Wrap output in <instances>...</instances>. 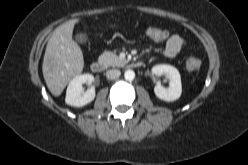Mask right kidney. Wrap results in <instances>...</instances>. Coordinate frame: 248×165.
<instances>
[{
    "label": "right kidney",
    "mask_w": 248,
    "mask_h": 165,
    "mask_svg": "<svg viewBox=\"0 0 248 165\" xmlns=\"http://www.w3.org/2000/svg\"><path fill=\"white\" fill-rule=\"evenodd\" d=\"M93 81L92 74H82L73 78L67 87L65 102L74 107H82L92 102L95 98V88L91 87L84 92L82 84H92Z\"/></svg>",
    "instance_id": "obj_1"
}]
</instances>
